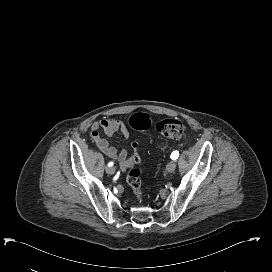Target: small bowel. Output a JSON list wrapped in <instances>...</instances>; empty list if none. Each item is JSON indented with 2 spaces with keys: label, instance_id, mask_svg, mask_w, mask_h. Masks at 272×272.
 Here are the masks:
<instances>
[{
  "label": "small bowel",
  "instance_id": "1",
  "mask_svg": "<svg viewBox=\"0 0 272 272\" xmlns=\"http://www.w3.org/2000/svg\"><path fill=\"white\" fill-rule=\"evenodd\" d=\"M100 130L107 135L120 132L124 137H128L129 130L123 121L115 118H104L94 122L91 126V139L105 155L118 161L122 170H126L139 163L138 141L132 143L131 151L124 149L119 152L107 139L100 136Z\"/></svg>",
  "mask_w": 272,
  "mask_h": 272
}]
</instances>
